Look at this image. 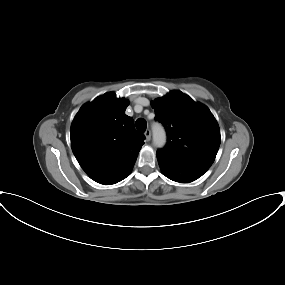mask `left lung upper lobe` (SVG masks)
Returning a JSON list of instances; mask_svg holds the SVG:
<instances>
[{
  "mask_svg": "<svg viewBox=\"0 0 285 285\" xmlns=\"http://www.w3.org/2000/svg\"><path fill=\"white\" fill-rule=\"evenodd\" d=\"M151 105L167 131V145L157 153L208 170L221 142L218 123L208 107L180 91L158 98Z\"/></svg>",
  "mask_w": 285,
  "mask_h": 285,
  "instance_id": "obj_1",
  "label": "left lung upper lobe"
}]
</instances>
